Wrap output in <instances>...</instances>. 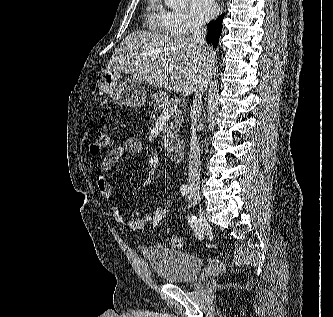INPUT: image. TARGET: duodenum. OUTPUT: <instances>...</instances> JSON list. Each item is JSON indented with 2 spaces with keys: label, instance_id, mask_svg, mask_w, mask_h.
I'll use <instances>...</instances> for the list:
<instances>
[{
  "label": "duodenum",
  "instance_id": "410a0bca",
  "mask_svg": "<svg viewBox=\"0 0 333 317\" xmlns=\"http://www.w3.org/2000/svg\"><path fill=\"white\" fill-rule=\"evenodd\" d=\"M168 158L175 163L183 160L185 155V143L182 139L172 140L167 147Z\"/></svg>",
  "mask_w": 333,
  "mask_h": 317
}]
</instances>
